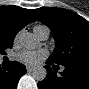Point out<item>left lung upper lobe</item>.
Here are the masks:
<instances>
[{"label":"left lung upper lobe","mask_w":89,"mask_h":89,"mask_svg":"<svg viewBox=\"0 0 89 89\" xmlns=\"http://www.w3.org/2000/svg\"><path fill=\"white\" fill-rule=\"evenodd\" d=\"M32 13L47 25L56 48L49 60L63 66H89V22L78 14L60 8L42 7Z\"/></svg>","instance_id":"left-lung-upper-lobe-1"}]
</instances>
